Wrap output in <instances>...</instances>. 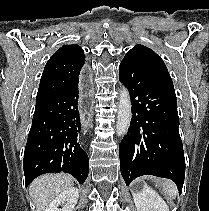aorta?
<instances>
[{"mask_svg": "<svg viewBox=\"0 0 209 211\" xmlns=\"http://www.w3.org/2000/svg\"><path fill=\"white\" fill-rule=\"evenodd\" d=\"M132 119L131 100L128 90L123 86L120 91L116 134L123 136L127 133Z\"/></svg>", "mask_w": 209, "mask_h": 211, "instance_id": "obj_1", "label": "aorta"}]
</instances>
